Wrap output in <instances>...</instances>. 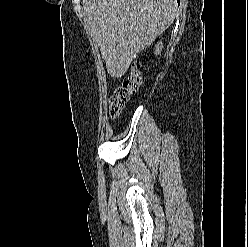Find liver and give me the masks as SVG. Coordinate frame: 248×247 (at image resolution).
I'll list each match as a JSON object with an SVG mask.
<instances>
[{
  "mask_svg": "<svg viewBox=\"0 0 248 247\" xmlns=\"http://www.w3.org/2000/svg\"><path fill=\"white\" fill-rule=\"evenodd\" d=\"M83 14L108 74L122 77L134 55L174 21L176 0H83Z\"/></svg>",
  "mask_w": 248,
  "mask_h": 247,
  "instance_id": "obj_1",
  "label": "liver"
}]
</instances>
